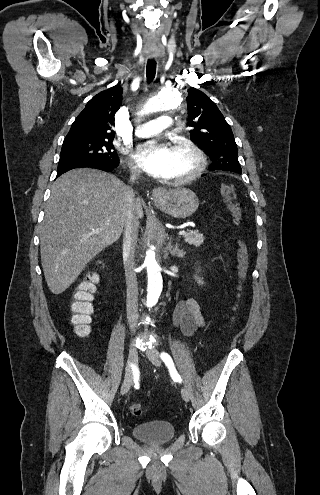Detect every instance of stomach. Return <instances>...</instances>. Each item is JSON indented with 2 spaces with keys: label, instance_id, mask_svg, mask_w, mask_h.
<instances>
[{
  "label": "stomach",
  "instance_id": "obj_1",
  "mask_svg": "<svg viewBox=\"0 0 320 495\" xmlns=\"http://www.w3.org/2000/svg\"><path fill=\"white\" fill-rule=\"evenodd\" d=\"M155 203L159 209L175 218L189 217L199 207L196 194L186 188L164 191L162 197Z\"/></svg>",
  "mask_w": 320,
  "mask_h": 495
}]
</instances>
